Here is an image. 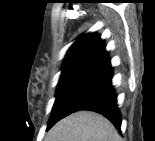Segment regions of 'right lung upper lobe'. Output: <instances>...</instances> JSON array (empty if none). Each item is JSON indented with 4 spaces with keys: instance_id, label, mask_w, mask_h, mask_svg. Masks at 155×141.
I'll return each instance as SVG.
<instances>
[{
    "instance_id": "1",
    "label": "right lung upper lobe",
    "mask_w": 155,
    "mask_h": 141,
    "mask_svg": "<svg viewBox=\"0 0 155 141\" xmlns=\"http://www.w3.org/2000/svg\"><path fill=\"white\" fill-rule=\"evenodd\" d=\"M109 59L105 45L95 33L82 35L69 49L62 73L87 70L97 71Z\"/></svg>"
}]
</instances>
